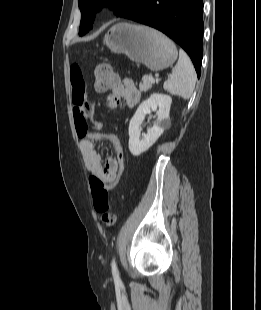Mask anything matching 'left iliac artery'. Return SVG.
Masks as SVG:
<instances>
[{
  "label": "left iliac artery",
  "mask_w": 261,
  "mask_h": 310,
  "mask_svg": "<svg viewBox=\"0 0 261 310\" xmlns=\"http://www.w3.org/2000/svg\"><path fill=\"white\" fill-rule=\"evenodd\" d=\"M111 268H112V275H113L115 283H117V284L120 283L121 280L119 277V272H118V268H117L115 259L112 260Z\"/></svg>",
  "instance_id": "obj_1"
}]
</instances>
